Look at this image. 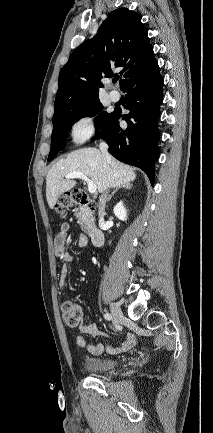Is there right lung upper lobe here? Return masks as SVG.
I'll use <instances>...</instances> for the list:
<instances>
[{"label":"right lung upper lobe","instance_id":"right-lung-upper-lobe-1","mask_svg":"<svg viewBox=\"0 0 213 433\" xmlns=\"http://www.w3.org/2000/svg\"><path fill=\"white\" fill-rule=\"evenodd\" d=\"M141 15L127 8L112 11L96 36L71 54L59 74L54 116L63 110L98 98L102 77L122 68L120 88L154 58Z\"/></svg>","mask_w":213,"mask_h":433}]
</instances>
